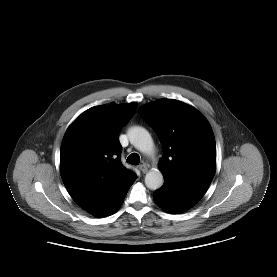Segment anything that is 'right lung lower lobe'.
Instances as JSON below:
<instances>
[{"label":"right lung lower lobe","instance_id":"obj_1","mask_svg":"<svg viewBox=\"0 0 277 277\" xmlns=\"http://www.w3.org/2000/svg\"><path fill=\"white\" fill-rule=\"evenodd\" d=\"M137 175L128 180L122 187L119 188L105 203L101 206L88 211L91 215L96 217L108 216L114 213L122 204L129 188L136 180Z\"/></svg>","mask_w":277,"mask_h":277}]
</instances>
